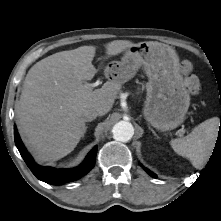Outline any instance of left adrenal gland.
<instances>
[{
  "label": "left adrenal gland",
  "instance_id": "a2214340",
  "mask_svg": "<svg viewBox=\"0 0 221 221\" xmlns=\"http://www.w3.org/2000/svg\"><path fill=\"white\" fill-rule=\"evenodd\" d=\"M149 129L152 131V133L154 134V136H156L157 138H159V136L156 134V132L149 126Z\"/></svg>",
  "mask_w": 221,
  "mask_h": 221
}]
</instances>
